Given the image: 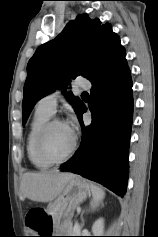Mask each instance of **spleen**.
I'll return each instance as SVG.
<instances>
[{
	"mask_svg": "<svg viewBox=\"0 0 158 237\" xmlns=\"http://www.w3.org/2000/svg\"><path fill=\"white\" fill-rule=\"evenodd\" d=\"M90 190L93 198L92 206L95 208V206L104 198L105 192L102 188L96 186L95 184H90Z\"/></svg>",
	"mask_w": 158,
	"mask_h": 237,
	"instance_id": "3e777b00",
	"label": "spleen"
}]
</instances>
